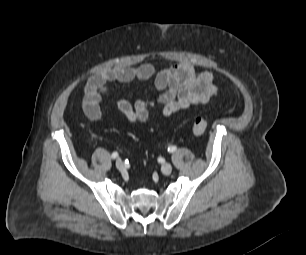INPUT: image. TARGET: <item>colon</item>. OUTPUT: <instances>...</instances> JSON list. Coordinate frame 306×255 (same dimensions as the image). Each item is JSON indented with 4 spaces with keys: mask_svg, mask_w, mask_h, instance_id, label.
<instances>
[{
    "mask_svg": "<svg viewBox=\"0 0 306 255\" xmlns=\"http://www.w3.org/2000/svg\"><path fill=\"white\" fill-rule=\"evenodd\" d=\"M207 129V121L202 118L198 117L194 120L192 131L195 135L200 136L202 135Z\"/></svg>",
    "mask_w": 306,
    "mask_h": 255,
    "instance_id": "5ec220e1",
    "label": "colon"
}]
</instances>
